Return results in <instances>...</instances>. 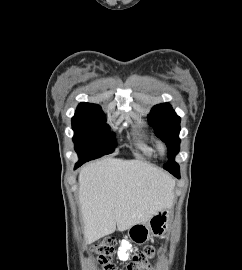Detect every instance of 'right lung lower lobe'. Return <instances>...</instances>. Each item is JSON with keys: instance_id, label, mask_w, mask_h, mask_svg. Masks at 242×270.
Returning <instances> with one entry per match:
<instances>
[{"instance_id": "right-lung-lower-lobe-1", "label": "right lung lower lobe", "mask_w": 242, "mask_h": 270, "mask_svg": "<svg viewBox=\"0 0 242 270\" xmlns=\"http://www.w3.org/2000/svg\"><path fill=\"white\" fill-rule=\"evenodd\" d=\"M80 165H82V164H80V163H76L75 168L79 167Z\"/></svg>"}]
</instances>
